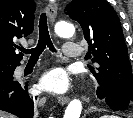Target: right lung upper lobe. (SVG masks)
Instances as JSON below:
<instances>
[{
  "mask_svg": "<svg viewBox=\"0 0 133 118\" xmlns=\"http://www.w3.org/2000/svg\"><path fill=\"white\" fill-rule=\"evenodd\" d=\"M35 7L33 0H0V66L20 64L16 43L32 33Z\"/></svg>",
  "mask_w": 133,
  "mask_h": 118,
  "instance_id": "obj_1",
  "label": "right lung upper lobe"
}]
</instances>
